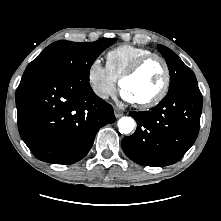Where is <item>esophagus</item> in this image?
<instances>
[{
	"instance_id": "34e87169",
	"label": "esophagus",
	"mask_w": 221,
	"mask_h": 221,
	"mask_svg": "<svg viewBox=\"0 0 221 221\" xmlns=\"http://www.w3.org/2000/svg\"><path fill=\"white\" fill-rule=\"evenodd\" d=\"M114 114L117 118H119V117L123 116V111L116 107V108H114Z\"/></svg>"
}]
</instances>
